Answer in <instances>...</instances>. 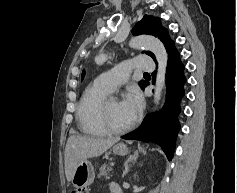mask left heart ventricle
I'll list each match as a JSON object with an SVG mask.
<instances>
[{"label": "left heart ventricle", "instance_id": "obj_1", "mask_svg": "<svg viewBox=\"0 0 237 193\" xmlns=\"http://www.w3.org/2000/svg\"><path fill=\"white\" fill-rule=\"evenodd\" d=\"M108 122L115 128H123L132 123L122 102L113 101L108 106Z\"/></svg>", "mask_w": 237, "mask_h": 193}]
</instances>
